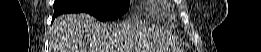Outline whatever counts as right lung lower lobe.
<instances>
[{"label": "right lung lower lobe", "instance_id": "98d812e1", "mask_svg": "<svg viewBox=\"0 0 261 52\" xmlns=\"http://www.w3.org/2000/svg\"><path fill=\"white\" fill-rule=\"evenodd\" d=\"M56 16H58V15L54 14V16H53V19H52V20H54V18H55Z\"/></svg>", "mask_w": 261, "mask_h": 52}]
</instances>
